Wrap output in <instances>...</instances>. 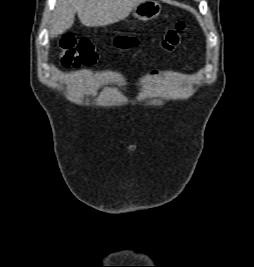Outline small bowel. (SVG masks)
<instances>
[{
	"label": "small bowel",
	"instance_id": "obj_1",
	"mask_svg": "<svg viewBox=\"0 0 254 267\" xmlns=\"http://www.w3.org/2000/svg\"><path fill=\"white\" fill-rule=\"evenodd\" d=\"M158 73L157 72H153V75H157Z\"/></svg>",
	"mask_w": 254,
	"mask_h": 267
}]
</instances>
